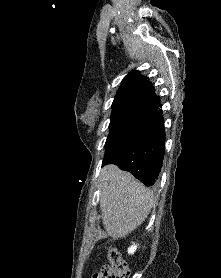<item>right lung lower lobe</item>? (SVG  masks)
Returning a JSON list of instances; mask_svg holds the SVG:
<instances>
[{
    "label": "right lung lower lobe",
    "mask_w": 221,
    "mask_h": 278,
    "mask_svg": "<svg viewBox=\"0 0 221 278\" xmlns=\"http://www.w3.org/2000/svg\"><path fill=\"white\" fill-rule=\"evenodd\" d=\"M154 113L124 142L104 156L102 165L116 164L146 186L153 185L162 167L165 130L159 97L147 104Z\"/></svg>",
    "instance_id": "98d812e1"
}]
</instances>
